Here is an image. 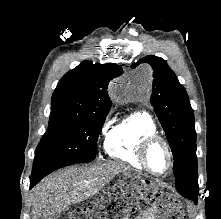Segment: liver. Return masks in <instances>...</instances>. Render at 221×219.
Listing matches in <instances>:
<instances>
[{
	"instance_id": "obj_1",
	"label": "liver",
	"mask_w": 221,
	"mask_h": 219,
	"mask_svg": "<svg viewBox=\"0 0 221 219\" xmlns=\"http://www.w3.org/2000/svg\"><path fill=\"white\" fill-rule=\"evenodd\" d=\"M126 170L124 164L110 162L66 168L47 176L33 189L32 219H58L61 212L93 197Z\"/></svg>"
}]
</instances>
